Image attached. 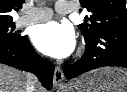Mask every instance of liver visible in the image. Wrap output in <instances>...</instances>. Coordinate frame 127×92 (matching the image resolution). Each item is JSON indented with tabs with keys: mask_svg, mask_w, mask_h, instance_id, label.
I'll list each match as a JSON object with an SVG mask.
<instances>
[{
	"mask_svg": "<svg viewBox=\"0 0 127 92\" xmlns=\"http://www.w3.org/2000/svg\"><path fill=\"white\" fill-rule=\"evenodd\" d=\"M28 73L0 64V92H26ZM35 92H46L37 82Z\"/></svg>",
	"mask_w": 127,
	"mask_h": 92,
	"instance_id": "liver-1",
	"label": "liver"
}]
</instances>
